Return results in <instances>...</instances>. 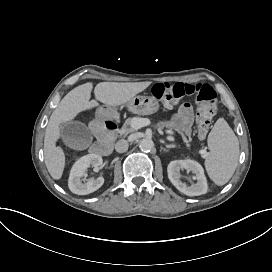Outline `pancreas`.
I'll return each instance as SVG.
<instances>
[{"instance_id":"cf45deb5","label":"pancreas","mask_w":272,"mask_h":272,"mask_svg":"<svg viewBox=\"0 0 272 272\" xmlns=\"http://www.w3.org/2000/svg\"><path fill=\"white\" fill-rule=\"evenodd\" d=\"M133 118L134 117H130V118L126 119L122 129L119 132L120 134L127 135V134H129L130 132L133 131V129L131 128V123H132ZM171 129L173 130L174 128H171ZM178 133L180 134V136L182 138V141L185 144V146L187 147V149L190 150L191 149V144H190L187 136L185 135V133L183 131H178Z\"/></svg>"}]
</instances>
